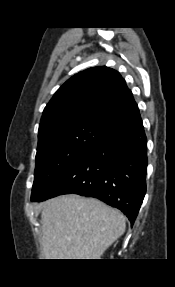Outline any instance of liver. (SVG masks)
Returning <instances> with one entry per match:
<instances>
[{
    "instance_id": "liver-1",
    "label": "liver",
    "mask_w": 175,
    "mask_h": 287,
    "mask_svg": "<svg viewBox=\"0 0 175 287\" xmlns=\"http://www.w3.org/2000/svg\"><path fill=\"white\" fill-rule=\"evenodd\" d=\"M41 223L45 259H99L126 228L120 211L78 195L44 202Z\"/></svg>"
}]
</instances>
